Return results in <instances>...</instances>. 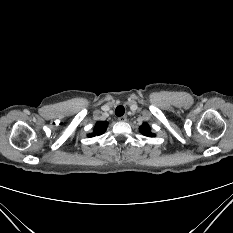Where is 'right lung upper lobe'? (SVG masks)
Returning a JSON list of instances; mask_svg holds the SVG:
<instances>
[{"label":"right lung upper lobe","mask_w":233,"mask_h":233,"mask_svg":"<svg viewBox=\"0 0 233 233\" xmlns=\"http://www.w3.org/2000/svg\"><path fill=\"white\" fill-rule=\"evenodd\" d=\"M108 123L107 122H103V121H99L96 123L95 127H94V131L92 134H89V137H94L96 135H102L106 129H107Z\"/></svg>","instance_id":"right-lung-upper-lobe-1"}]
</instances>
